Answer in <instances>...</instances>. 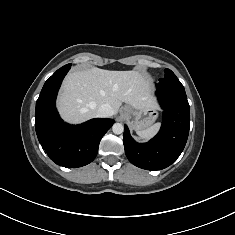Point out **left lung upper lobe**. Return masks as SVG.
<instances>
[{"label": "left lung upper lobe", "mask_w": 235, "mask_h": 235, "mask_svg": "<svg viewBox=\"0 0 235 235\" xmlns=\"http://www.w3.org/2000/svg\"><path fill=\"white\" fill-rule=\"evenodd\" d=\"M164 80H169V81H179L176 75L170 70V69H165L164 70Z\"/></svg>", "instance_id": "left-lung-upper-lobe-1"}]
</instances>
